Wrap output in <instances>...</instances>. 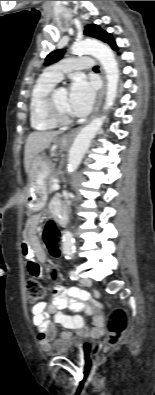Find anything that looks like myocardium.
<instances>
[{"mask_svg": "<svg viewBox=\"0 0 155 395\" xmlns=\"http://www.w3.org/2000/svg\"><path fill=\"white\" fill-rule=\"evenodd\" d=\"M61 89L59 86L53 87L44 98V112L47 118L56 125H68L72 122L70 116L62 114L56 104V94Z\"/></svg>", "mask_w": 155, "mask_h": 395, "instance_id": "f54148a6", "label": "myocardium"}]
</instances>
